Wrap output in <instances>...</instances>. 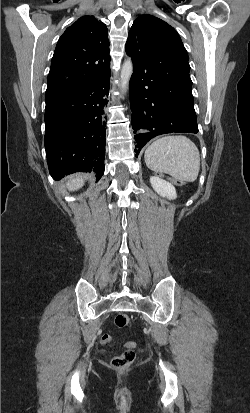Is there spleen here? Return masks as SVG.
I'll use <instances>...</instances> for the list:
<instances>
[{"mask_svg": "<svg viewBox=\"0 0 250 413\" xmlns=\"http://www.w3.org/2000/svg\"><path fill=\"white\" fill-rule=\"evenodd\" d=\"M144 158L149 169L180 182H194L200 171L199 150L186 136L159 138L146 149Z\"/></svg>", "mask_w": 250, "mask_h": 413, "instance_id": "spleen-1", "label": "spleen"}]
</instances>
